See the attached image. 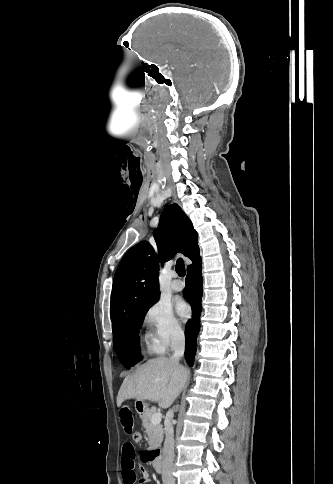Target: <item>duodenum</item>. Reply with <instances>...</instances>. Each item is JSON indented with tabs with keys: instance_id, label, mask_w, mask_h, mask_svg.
<instances>
[{
	"instance_id": "obj_1",
	"label": "duodenum",
	"mask_w": 333,
	"mask_h": 484,
	"mask_svg": "<svg viewBox=\"0 0 333 484\" xmlns=\"http://www.w3.org/2000/svg\"><path fill=\"white\" fill-rule=\"evenodd\" d=\"M152 463L153 468L157 473L162 472V462H161V452L159 449H156L152 452Z\"/></svg>"
}]
</instances>
